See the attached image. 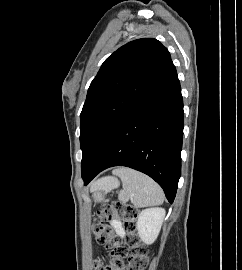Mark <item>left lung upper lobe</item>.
I'll return each mask as SVG.
<instances>
[{
    "label": "left lung upper lobe",
    "instance_id": "left-lung-upper-lobe-1",
    "mask_svg": "<svg viewBox=\"0 0 242 270\" xmlns=\"http://www.w3.org/2000/svg\"><path fill=\"white\" fill-rule=\"evenodd\" d=\"M172 67L169 51L153 38L131 41L104 61L90 84L80 114L82 173L90 167L119 122Z\"/></svg>",
    "mask_w": 242,
    "mask_h": 270
}]
</instances>
